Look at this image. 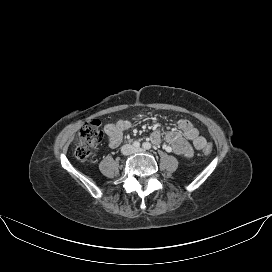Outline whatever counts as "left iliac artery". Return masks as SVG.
<instances>
[{
  "instance_id": "44dca946",
  "label": "left iliac artery",
  "mask_w": 272,
  "mask_h": 272,
  "mask_svg": "<svg viewBox=\"0 0 272 272\" xmlns=\"http://www.w3.org/2000/svg\"><path fill=\"white\" fill-rule=\"evenodd\" d=\"M142 147H143L144 149L148 150V149H151V144L148 143V142H144V143L142 144Z\"/></svg>"
}]
</instances>
